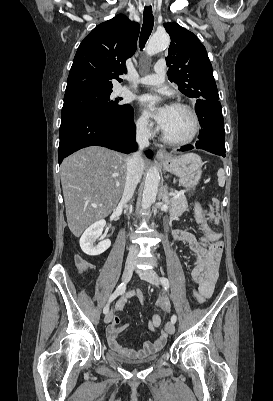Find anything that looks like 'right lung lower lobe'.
<instances>
[{
  "label": "right lung lower lobe",
  "mask_w": 273,
  "mask_h": 401,
  "mask_svg": "<svg viewBox=\"0 0 273 401\" xmlns=\"http://www.w3.org/2000/svg\"><path fill=\"white\" fill-rule=\"evenodd\" d=\"M135 134L132 108L125 120L90 113L65 117L60 126L58 161L61 163L73 152L93 145L130 153L137 147ZM146 155L151 157L152 152L148 150Z\"/></svg>",
  "instance_id": "right-lung-lower-lobe-1"
}]
</instances>
